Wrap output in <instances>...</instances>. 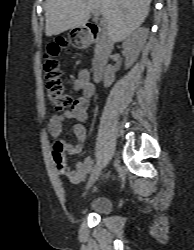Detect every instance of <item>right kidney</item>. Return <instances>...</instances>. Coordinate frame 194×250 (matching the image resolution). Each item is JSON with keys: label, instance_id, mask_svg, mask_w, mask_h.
Returning <instances> with one entry per match:
<instances>
[{"label": "right kidney", "instance_id": "ca27d5eb", "mask_svg": "<svg viewBox=\"0 0 194 250\" xmlns=\"http://www.w3.org/2000/svg\"><path fill=\"white\" fill-rule=\"evenodd\" d=\"M147 37L146 29H138L132 33L124 42H123V54L126 58L125 66L126 68L131 67L134 62L137 60L141 50L143 49L145 40ZM115 80V69L113 66L108 65L104 72V86L110 87Z\"/></svg>", "mask_w": 194, "mask_h": 250}]
</instances>
